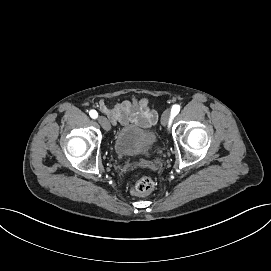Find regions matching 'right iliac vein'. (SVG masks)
I'll return each mask as SVG.
<instances>
[{
    "label": "right iliac vein",
    "mask_w": 271,
    "mask_h": 271,
    "mask_svg": "<svg viewBox=\"0 0 271 271\" xmlns=\"http://www.w3.org/2000/svg\"><path fill=\"white\" fill-rule=\"evenodd\" d=\"M97 121L104 130H106V131L110 130V123H109V121L107 120L106 117L99 116Z\"/></svg>",
    "instance_id": "right-iliac-vein-1"
}]
</instances>
